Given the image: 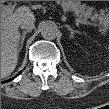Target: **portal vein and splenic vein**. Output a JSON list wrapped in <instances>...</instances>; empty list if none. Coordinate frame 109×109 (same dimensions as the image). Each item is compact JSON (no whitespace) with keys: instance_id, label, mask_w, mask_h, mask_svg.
Returning a JSON list of instances; mask_svg holds the SVG:
<instances>
[{"instance_id":"18ae733b","label":"portal vein and splenic vein","mask_w":109,"mask_h":109,"mask_svg":"<svg viewBox=\"0 0 109 109\" xmlns=\"http://www.w3.org/2000/svg\"><path fill=\"white\" fill-rule=\"evenodd\" d=\"M14 12V7L13 6H4L2 9V17H5L6 15H10ZM75 22L77 25H79V23H82L78 18H75ZM83 24H88V23H83Z\"/></svg>"}]
</instances>
